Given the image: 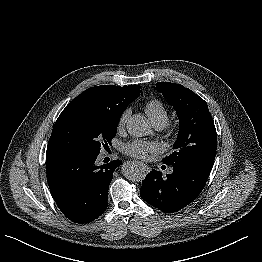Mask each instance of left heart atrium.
<instances>
[{"instance_id":"1","label":"left heart atrium","mask_w":262,"mask_h":262,"mask_svg":"<svg viewBox=\"0 0 262 262\" xmlns=\"http://www.w3.org/2000/svg\"><path fill=\"white\" fill-rule=\"evenodd\" d=\"M158 147L151 142L135 140L123 145V151L135 158L144 159L149 153H155Z\"/></svg>"}]
</instances>
